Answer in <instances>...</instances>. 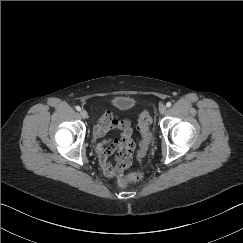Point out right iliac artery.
Instances as JSON below:
<instances>
[{"instance_id":"82829eb1","label":"right iliac artery","mask_w":243,"mask_h":243,"mask_svg":"<svg viewBox=\"0 0 243 243\" xmlns=\"http://www.w3.org/2000/svg\"><path fill=\"white\" fill-rule=\"evenodd\" d=\"M76 110L77 111H80L81 110V107L80 106H76Z\"/></svg>"}]
</instances>
